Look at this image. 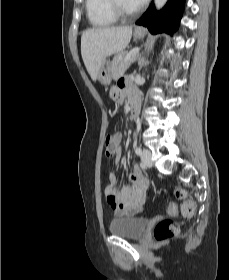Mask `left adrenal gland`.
I'll use <instances>...</instances> for the list:
<instances>
[{"instance_id": "1", "label": "left adrenal gland", "mask_w": 229, "mask_h": 280, "mask_svg": "<svg viewBox=\"0 0 229 280\" xmlns=\"http://www.w3.org/2000/svg\"><path fill=\"white\" fill-rule=\"evenodd\" d=\"M143 63H144V61H143V60H141V61H140V69L142 68Z\"/></svg>"}]
</instances>
